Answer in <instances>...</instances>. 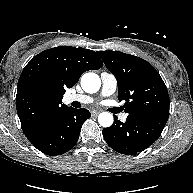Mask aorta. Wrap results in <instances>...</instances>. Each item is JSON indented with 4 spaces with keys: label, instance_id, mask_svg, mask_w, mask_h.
Wrapping results in <instances>:
<instances>
[{
    "label": "aorta",
    "instance_id": "aorta-1",
    "mask_svg": "<svg viewBox=\"0 0 193 193\" xmlns=\"http://www.w3.org/2000/svg\"><path fill=\"white\" fill-rule=\"evenodd\" d=\"M100 86L101 80L96 73L88 72L81 77V87L86 93H96ZM113 121V115L109 112H102L98 116V122L102 127H110Z\"/></svg>",
    "mask_w": 193,
    "mask_h": 193
}]
</instances>
